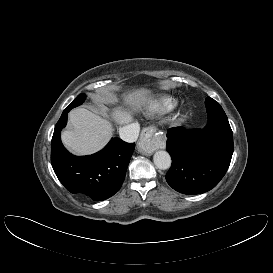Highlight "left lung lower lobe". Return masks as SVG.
Wrapping results in <instances>:
<instances>
[{"instance_id": "0a47b994", "label": "left lung lower lobe", "mask_w": 273, "mask_h": 273, "mask_svg": "<svg viewBox=\"0 0 273 273\" xmlns=\"http://www.w3.org/2000/svg\"><path fill=\"white\" fill-rule=\"evenodd\" d=\"M206 128H171L166 149L172 165L167 183L183 194L211 190L225 175L233 154V133L227 116H208Z\"/></svg>"}]
</instances>
